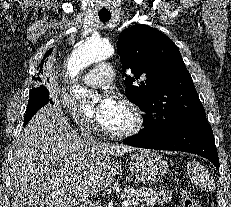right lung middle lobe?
I'll use <instances>...</instances> for the list:
<instances>
[{
  "label": "right lung middle lobe",
  "mask_w": 231,
  "mask_h": 207,
  "mask_svg": "<svg viewBox=\"0 0 231 207\" xmlns=\"http://www.w3.org/2000/svg\"><path fill=\"white\" fill-rule=\"evenodd\" d=\"M45 89L44 86H40L38 88H33L31 91H30V95H29V102H31L35 96L37 95L38 92H42L43 90ZM28 102V103H29Z\"/></svg>",
  "instance_id": "obj_1"
}]
</instances>
